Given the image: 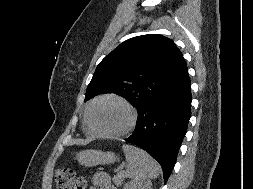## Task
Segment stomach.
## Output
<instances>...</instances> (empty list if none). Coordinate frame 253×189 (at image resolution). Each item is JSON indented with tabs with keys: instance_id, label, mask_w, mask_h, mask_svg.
<instances>
[{
	"instance_id": "obj_1",
	"label": "stomach",
	"mask_w": 253,
	"mask_h": 189,
	"mask_svg": "<svg viewBox=\"0 0 253 189\" xmlns=\"http://www.w3.org/2000/svg\"><path fill=\"white\" fill-rule=\"evenodd\" d=\"M77 161L81 165L96 166L98 164H109L116 160L113 152H103L101 150H85L76 155Z\"/></svg>"
}]
</instances>
